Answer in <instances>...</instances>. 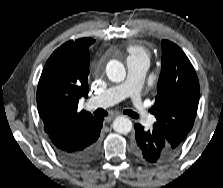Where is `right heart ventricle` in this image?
<instances>
[{
	"mask_svg": "<svg viewBox=\"0 0 223 188\" xmlns=\"http://www.w3.org/2000/svg\"><path fill=\"white\" fill-rule=\"evenodd\" d=\"M128 50H129V52L131 54L130 56H143L146 59H149L148 52L145 49H143L142 47H140V46L133 45V46H130L128 48Z\"/></svg>",
	"mask_w": 223,
	"mask_h": 188,
	"instance_id": "obj_1",
	"label": "right heart ventricle"
}]
</instances>
